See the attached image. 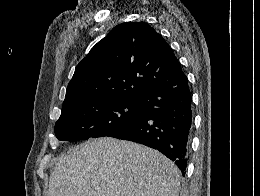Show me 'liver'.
I'll use <instances>...</instances> for the list:
<instances>
[{"instance_id": "6515ba94", "label": "liver", "mask_w": 260, "mask_h": 196, "mask_svg": "<svg viewBox=\"0 0 260 196\" xmlns=\"http://www.w3.org/2000/svg\"><path fill=\"white\" fill-rule=\"evenodd\" d=\"M179 180L177 166L158 150L96 138L56 164L48 196H178Z\"/></svg>"}]
</instances>
